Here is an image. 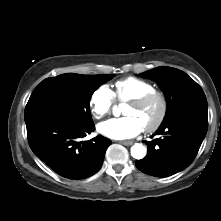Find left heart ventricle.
<instances>
[{
	"label": "left heart ventricle",
	"instance_id": "left-heart-ventricle-1",
	"mask_svg": "<svg viewBox=\"0 0 221 221\" xmlns=\"http://www.w3.org/2000/svg\"><path fill=\"white\" fill-rule=\"evenodd\" d=\"M160 113V103L155 100L143 107L127 105L123 110L125 116H133L138 119L143 128L155 122Z\"/></svg>",
	"mask_w": 221,
	"mask_h": 221
}]
</instances>
